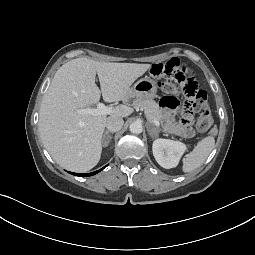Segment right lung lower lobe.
<instances>
[{"label": "right lung lower lobe", "instance_id": "98d812e1", "mask_svg": "<svg viewBox=\"0 0 255 255\" xmlns=\"http://www.w3.org/2000/svg\"><path fill=\"white\" fill-rule=\"evenodd\" d=\"M105 167H106V166H105ZM105 167H103L102 169H100V170H98V171H95V172H92V173H87V174H79V173H72V172H70V173L73 174V175H76V176H81V177L92 176V175L97 174V173L100 172L101 170H103Z\"/></svg>", "mask_w": 255, "mask_h": 255}]
</instances>
